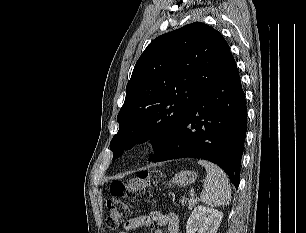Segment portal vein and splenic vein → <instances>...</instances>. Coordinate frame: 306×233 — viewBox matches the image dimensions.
Segmentation results:
<instances>
[{"label":"portal vein and splenic vein","mask_w":306,"mask_h":233,"mask_svg":"<svg viewBox=\"0 0 306 233\" xmlns=\"http://www.w3.org/2000/svg\"><path fill=\"white\" fill-rule=\"evenodd\" d=\"M190 195H191L192 197H194V196H195V193H194V192H191Z\"/></svg>","instance_id":"1"}]
</instances>
